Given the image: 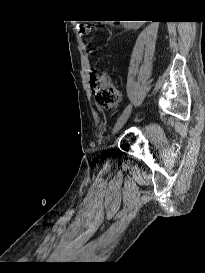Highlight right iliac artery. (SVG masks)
<instances>
[{
  "label": "right iliac artery",
  "instance_id": "1",
  "mask_svg": "<svg viewBox=\"0 0 205 273\" xmlns=\"http://www.w3.org/2000/svg\"><path fill=\"white\" fill-rule=\"evenodd\" d=\"M131 107H132L131 104H129V105L123 110V113L126 112V111H128V110H130Z\"/></svg>",
  "mask_w": 205,
  "mask_h": 273
}]
</instances>
